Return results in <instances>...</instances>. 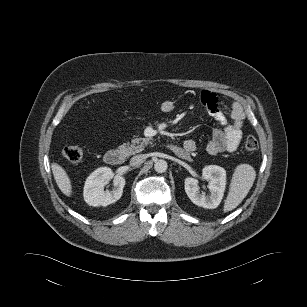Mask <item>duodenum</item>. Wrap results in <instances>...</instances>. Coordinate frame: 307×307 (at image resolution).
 <instances>
[{"instance_id":"duodenum-1","label":"duodenum","mask_w":307,"mask_h":307,"mask_svg":"<svg viewBox=\"0 0 307 307\" xmlns=\"http://www.w3.org/2000/svg\"><path fill=\"white\" fill-rule=\"evenodd\" d=\"M167 148L172 152H175L174 146H167ZM104 160L111 166H117L123 162L124 156L119 150L110 149L105 153Z\"/></svg>"}]
</instances>
